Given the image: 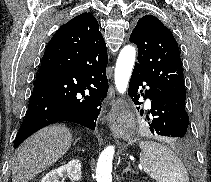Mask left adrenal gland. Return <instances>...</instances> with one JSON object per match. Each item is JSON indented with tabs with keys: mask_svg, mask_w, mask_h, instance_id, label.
Segmentation results:
<instances>
[{
	"mask_svg": "<svg viewBox=\"0 0 211 182\" xmlns=\"http://www.w3.org/2000/svg\"><path fill=\"white\" fill-rule=\"evenodd\" d=\"M130 166H131V164H130V162H128V163H127V167H126V168L123 170V172H122V175L125 174V173H127V172L135 173V171L132 170V169L130 168Z\"/></svg>",
	"mask_w": 211,
	"mask_h": 182,
	"instance_id": "1",
	"label": "left adrenal gland"
}]
</instances>
